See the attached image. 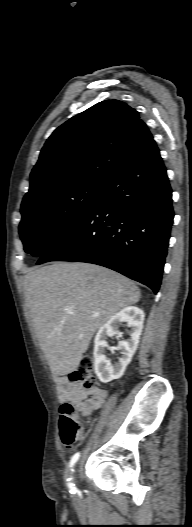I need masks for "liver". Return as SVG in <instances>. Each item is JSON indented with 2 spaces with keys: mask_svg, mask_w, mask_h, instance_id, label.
<instances>
[{
  "mask_svg": "<svg viewBox=\"0 0 192 527\" xmlns=\"http://www.w3.org/2000/svg\"><path fill=\"white\" fill-rule=\"evenodd\" d=\"M23 284L42 351L52 373L60 376L78 368L100 327L141 297L130 279L87 263L44 266L27 273Z\"/></svg>",
  "mask_w": 192,
  "mask_h": 527,
  "instance_id": "obj_1",
  "label": "liver"
}]
</instances>
